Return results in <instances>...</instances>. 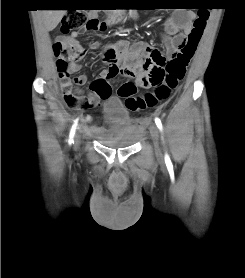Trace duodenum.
Instances as JSON below:
<instances>
[{
	"label": "duodenum",
	"instance_id": "1",
	"mask_svg": "<svg viewBox=\"0 0 245 278\" xmlns=\"http://www.w3.org/2000/svg\"><path fill=\"white\" fill-rule=\"evenodd\" d=\"M119 20V17L118 16H112L109 18V23H114V22H117Z\"/></svg>",
	"mask_w": 245,
	"mask_h": 278
}]
</instances>
